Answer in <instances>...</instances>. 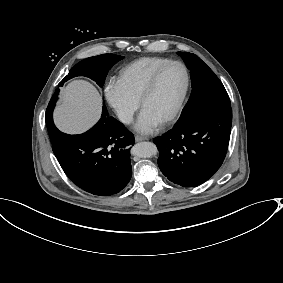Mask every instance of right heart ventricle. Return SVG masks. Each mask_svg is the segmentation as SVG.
<instances>
[{"instance_id":"obj_1","label":"right heart ventricle","mask_w":283,"mask_h":283,"mask_svg":"<svg viewBox=\"0 0 283 283\" xmlns=\"http://www.w3.org/2000/svg\"><path fill=\"white\" fill-rule=\"evenodd\" d=\"M171 61L164 56H147L139 58L124 66L118 74L126 92L134 99L139 100L148 77L160 66Z\"/></svg>"}]
</instances>
